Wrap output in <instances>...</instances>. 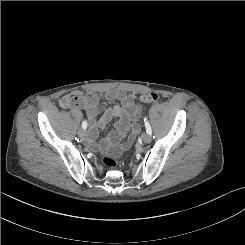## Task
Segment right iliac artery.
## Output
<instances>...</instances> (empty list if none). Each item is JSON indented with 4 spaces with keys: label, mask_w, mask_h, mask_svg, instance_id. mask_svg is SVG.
I'll return each instance as SVG.
<instances>
[{
    "label": "right iliac artery",
    "mask_w": 245,
    "mask_h": 245,
    "mask_svg": "<svg viewBox=\"0 0 245 245\" xmlns=\"http://www.w3.org/2000/svg\"><path fill=\"white\" fill-rule=\"evenodd\" d=\"M87 125H88L87 121L84 120V121L82 122V128H83V129H86V128H87Z\"/></svg>",
    "instance_id": "82829eb1"
}]
</instances>
